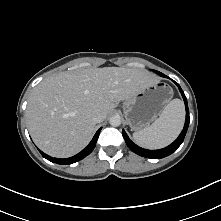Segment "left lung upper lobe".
<instances>
[{
    "mask_svg": "<svg viewBox=\"0 0 221 221\" xmlns=\"http://www.w3.org/2000/svg\"><path fill=\"white\" fill-rule=\"evenodd\" d=\"M156 73L160 74V72L156 71Z\"/></svg>",
    "mask_w": 221,
    "mask_h": 221,
    "instance_id": "left-lung-upper-lobe-1",
    "label": "left lung upper lobe"
}]
</instances>
